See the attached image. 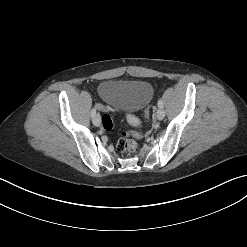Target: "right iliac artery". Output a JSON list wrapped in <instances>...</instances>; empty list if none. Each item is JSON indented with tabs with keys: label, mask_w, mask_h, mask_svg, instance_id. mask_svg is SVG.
<instances>
[{
	"label": "right iliac artery",
	"mask_w": 247,
	"mask_h": 247,
	"mask_svg": "<svg viewBox=\"0 0 247 247\" xmlns=\"http://www.w3.org/2000/svg\"><path fill=\"white\" fill-rule=\"evenodd\" d=\"M95 115H96V109L93 108V109L91 110V117H94Z\"/></svg>",
	"instance_id": "82829eb1"
}]
</instances>
